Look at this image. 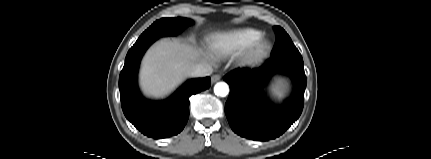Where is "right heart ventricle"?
Returning a JSON list of instances; mask_svg holds the SVG:
<instances>
[{
    "label": "right heart ventricle",
    "instance_id": "1",
    "mask_svg": "<svg viewBox=\"0 0 431 159\" xmlns=\"http://www.w3.org/2000/svg\"><path fill=\"white\" fill-rule=\"evenodd\" d=\"M261 36V32L254 28H240L213 35L209 39V47L218 56L232 55Z\"/></svg>",
    "mask_w": 431,
    "mask_h": 159
}]
</instances>
